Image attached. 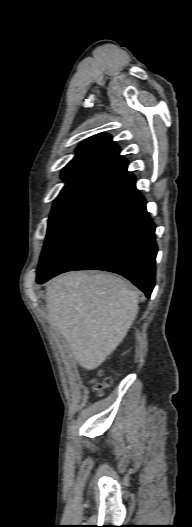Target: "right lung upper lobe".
<instances>
[{"mask_svg":"<svg viewBox=\"0 0 192 527\" xmlns=\"http://www.w3.org/2000/svg\"><path fill=\"white\" fill-rule=\"evenodd\" d=\"M128 161L120 156L119 147L108 134H98L84 140L76 156L62 171L66 185L97 180L109 182L125 170Z\"/></svg>","mask_w":192,"mask_h":527,"instance_id":"obj_1","label":"right lung upper lobe"}]
</instances>
